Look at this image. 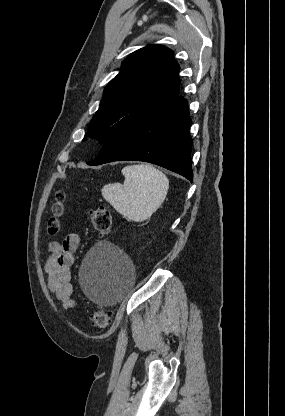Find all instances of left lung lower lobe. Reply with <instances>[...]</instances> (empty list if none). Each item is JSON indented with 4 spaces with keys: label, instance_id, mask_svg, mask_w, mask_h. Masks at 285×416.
I'll return each mask as SVG.
<instances>
[{
    "label": "left lung lower lobe",
    "instance_id": "1",
    "mask_svg": "<svg viewBox=\"0 0 285 416\" xmlns=\"http://www.w3.org/2000/svg\"><path fill=\"white\" fill-rule=\"evenodd\" d=\"M191 118L187 101L177 97L165 106L123 127L102 147L94 161L100 165L120 160L150 162L193 180Z\"/></svg>",
    "mask_w": 285,
    "mask_h": 416
}]
</instances>
